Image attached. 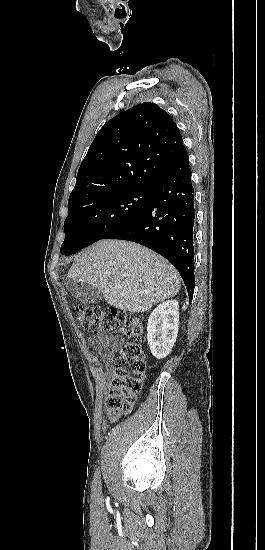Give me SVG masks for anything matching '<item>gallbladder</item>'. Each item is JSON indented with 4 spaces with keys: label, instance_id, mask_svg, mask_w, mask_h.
<instances>
[{
    "label": "gallbladder",
    "instance_id": "1",
    "mask_svg": "<svg viewBox=\"0 0 265 550\" xmlns=\"http://www.w3.org/2000/svg\"><path fill=\"white\" fill-rule=\"evenodd\" d=\"M65 285L69 292L82 303L95 304L103 300L102 293L91 284L76 282L72 279H67Z\"/></svg>",
    "mask_w": 265,
    "mask_h": 550
}]
</instances>
